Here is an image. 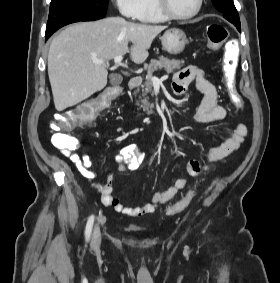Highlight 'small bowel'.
<instances>
[{
    "instance_id": "obj_1",
    "label": "small bowel",
    "mask_w": 280,
    "mask_h": 283,
    "mask_svg": "<svg viewBox=\"0 0 280 283\" xmlns=\"http://www.w3.org/2000/svg\"><path fill=\"white\" fill-rule=\"evenodd\" d=\"M191 83H195L198 90L203 94V100L195 114V121L207 125L223 120L226 116V109L218 103L216 87L205 78L202 71L195 67L180 70L174 77L172 89L176 94H182ZM247 133V127L242 123H238L222 144L210 148L206 152V161L215 162L228 157L240 147ZM67 157L75 165L79 173L92 182V186L100 194L104 206L111 207L117 213L129 217H142L155 212L158 206L170 201L179 190L188 184L187 177L178 178L166 190L154 193L149 203L137 207L127 206L112 194V175H108L104 184L95 181L98 174L92 169V160L88 154L79 155L72 151L67 154ZM144 159L145 155L133 143L123 145L115 156V160L119 164V171H136ZM184 167L187 174L193 177H202L210 170L209 164H204L197 159L186 160Z\"/></svg>"
}]
</instances>
